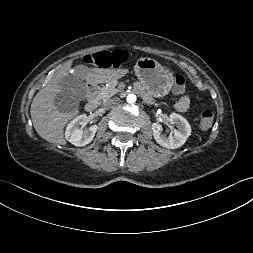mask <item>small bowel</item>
<instances>
[{
    "label": "small bowel",
    "mask_w": 253,
    "mask_h": 253,
    "mask_svg": "<svg viewBox=\"0 0 253 253\" xmlns=\"http://www.w3.org/2000/svg\"><path fill=\"white\" fill-rule=\"evenodd\" d=\"M190 107V98L188 96H182L176 103V108L180 112H186Z\"/></svg>",
    "instance_id": "c3829d8e"
}]
</instances>
